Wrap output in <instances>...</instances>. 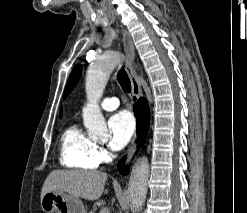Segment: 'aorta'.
<instances>
[{"instance_id":"762f6f07","label":"aorta","mask_w":247,"mask_h":213,"mask_svg":"<svg viewBox=\"0 0 247 213\" xmlns=\"http://www.w3.org/2000/svg\"><path fill=\"white\" fill-rule=\"evenodd\" d=\"M120 59V53L115 51L106 52L87 70L85 85L87 104L83 108V121L91 137H96L107 132L105 119L98 102L113 69L119 63ZM149 173V162L146 157L140 158L131 170L128 193L132 213H137L144 205Z\"/></svg>"}]
</instances>
